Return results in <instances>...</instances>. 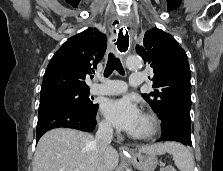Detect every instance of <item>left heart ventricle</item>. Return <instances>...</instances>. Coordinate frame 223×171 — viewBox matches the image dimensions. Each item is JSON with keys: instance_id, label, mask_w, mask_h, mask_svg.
<instances>
[{"instance_id": "obj_1", "label": "left heart ventricle", "mask_w": 223, "mask_h": 171, "mask_svg": "<svg viewBox=\"0 0 223 171\" xmlns=\"http://www.w3.org/2000/svg\"><path fill=\"white\" fill-rule=\"evenodd\" d=\"M148 123L147 121L141 116L137 126L135 129L132 131L131 134H142L148 131Z\"/></svg>"}]
</instances>
